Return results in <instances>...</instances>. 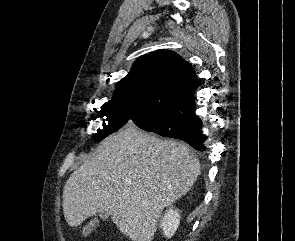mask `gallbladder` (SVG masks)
Segmentation results:
<instances>
[{"mask_svg":"<svg viewBox=\"0 0 295 241\" xmlns=\"http://www.w3.org/2000/svg\"><path fill=\"white\" fill-rule=\"evenodd\" d=\"M108 216H110V210H104V211L101 212V214H100V218H101V219H106V218H108Z\"/></svg>","mask_w":295,"mask_h":241,"instance_id":"bac80fb5","label":"gallbladder"}]
</instances>
